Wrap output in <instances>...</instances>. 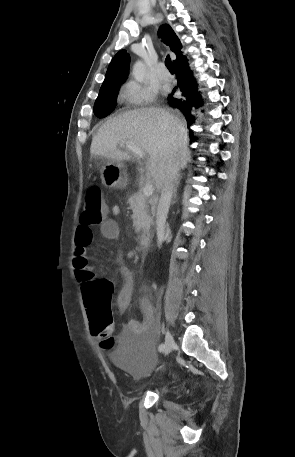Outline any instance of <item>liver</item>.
<instances>
[{
  "instance_id": "6515ba94",
  "label": "liver",
  "mask_w": 295,
  "mask_h": 457,
  "mask_svg": "<svg viewBox=\"0 0 295 457\" xmlns=\"http://www.w3.org/2000/svg\"><path fill=\"white\" fill-rule=\"evenodd\" d=\"M123 142L148 154L145 168L156 190L161 189L170 160H178L182 169L189 160L185 123L163 108L135 109L106 121L93 138L90 152L105 159L130 160L132 157L118 148Z\"/></svg>"
}]
</instances>
